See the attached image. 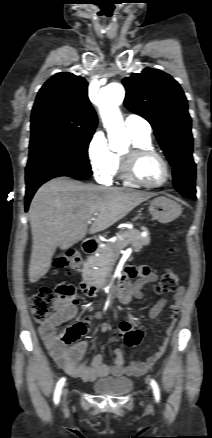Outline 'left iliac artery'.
Returning <instances> with one entry per match:
<instances>
[{"instance_id": "1", "label": "left iliac artery", "mask_w": 212, "mask_h": 438, "mask_svg": "<svg viewBox=\"0 0 212 438\" xmlns=\"http://www.w3.org/2000/svg\"><path fill=\"white\" fill-rule=\"evenodd\" d=\"M151 386H152V389H153V393H154L155 399L158 402L160 400V391H159V387H158L156 381L153 380V379L151 380Z\"/></svg>"}]
</instances>
